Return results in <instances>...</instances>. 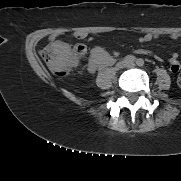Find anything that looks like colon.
<instances>
[{"label":"colon","mask_w":181,"mask_h":181,"mask_svg":"<svg viewBox=\"0 0 181 181\" xmlns=\"http://www.w3.org/2000/svg\"><path fill=\"white\" fill-rule=\"evenodd\" d=\"M85 51L86 48L83 45L74 46L73 49L51 45L42 51L41 57L56 76L65 78L70 75L76 65L78 56L84 54ZM177 84L181 88V72L178 74Z\"/></svg>","instance_id":"colon-1"}]
</instances>
